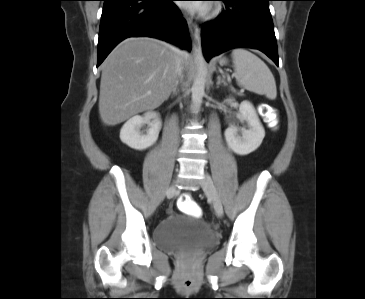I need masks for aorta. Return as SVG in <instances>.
Instances as JSON below:
<instances>
[{
	"label": "aorta",
	"mask_w": 365,
	"mask_h": 299,
	"mask_svg": "<svg viewBox=\"0 0 365 299\" xmlns=\"http://www.w3.org/2000/svg\"><path fill=\"white\" fill-rule=\"evenodd\" d=\"M195 61L197 64V73L192 85V104L195 109H199L205 93V84L207 77V68L201 48L195 47Z\"/></svg>",
	"instance_id": "obj_1"
}]
</instances>
